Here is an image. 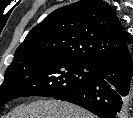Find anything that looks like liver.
<instances>
[{"label":"liver","mask_w":133,"mask_h":118,"mask_svg":"<svg viewBox=\"0 0 133 118\" xmlns=\"http://www.w3.org/2000/svg\"><path fill=\"white\" fill-rule=\"evenodd\" d=\"M11 118H96L87 110L64 101L39 100L16 107Z\"/></svg>","instance_id":"6515ba94"}]
</instances>
